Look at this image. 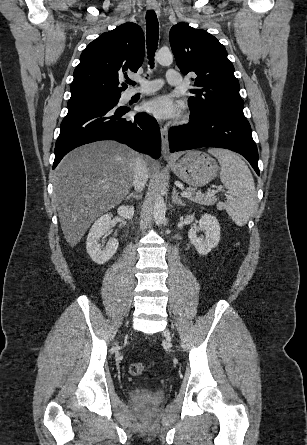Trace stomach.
<instances>
[{"label":"stomach","mask_w":307,"mask_h":445,"mask_svg":"<svg viewBox=\"0 0 307 445\" xmlns=\"http://www.w3.org/2000/svg\"><path fill=\"white\" fill-rule=\"evenodd\" d=\"M219 168L215 158L200 150H190L181 160L172 164L174 174L192 186L208 184L217 176Z\"/></svg>","instance_id":"1"}]
</instances>
